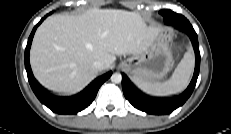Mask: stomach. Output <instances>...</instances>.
Masks as SVG:
<instances>
[{
	"label": "stomach",
	"instance_id": "obj_1",
	"mask_svg": "<svg viewBox=\"0 0 231 134\" xmlns=\"http://www.w3.org/2000/svg\"><path fill=\"white\" fill-rule=\"evenodd\" d=\"M173 37L171 30L162 29L152 43L141 53L133 55L121 63L123 71L133 80L156 82L161 80L173 64L169 42Z\"/></svg>",
	"mask_w": 231,
	"mask_h": 134
}]
</instances>
